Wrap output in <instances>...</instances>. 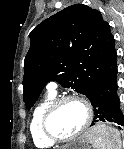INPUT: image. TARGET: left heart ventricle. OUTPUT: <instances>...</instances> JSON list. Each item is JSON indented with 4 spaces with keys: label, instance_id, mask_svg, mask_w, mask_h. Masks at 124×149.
I'll return each mask as SVG.
<instances>
[{
    "label": "left heart ventricle",
    "instance_id": "obj_1",
    "mask_svg": "<svg viewBox=\"0 0 124 149\" xmlns=\"http://www.w3.org/2000/svg\"><path fill=\"white\" fill-rule=\"evenodd\" d=\"M86 111L82 104L68 101L61 104L50 120V129L58 137L73 135L83 126Z\"/></svg>",
    "mask_w": 124,
    "mask_h": 149
}]
</instances>
